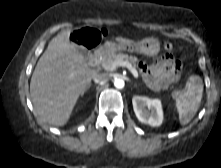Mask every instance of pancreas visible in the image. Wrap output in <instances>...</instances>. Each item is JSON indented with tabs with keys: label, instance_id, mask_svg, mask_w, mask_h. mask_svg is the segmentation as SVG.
Here are the masks:
<instances>
[{
	"label": "pancreas",
	"instance_id": "obj_1",
	"mask_svg": "<svg viewBox=\"0 0 221 168\" xmlns=\"http://www.w3.org/2000/svg\"><path fill=\"white\" fill-rule=\"evenodd\" d=\"M127 61L129 62L131 65H133V67L135 68L136 70V64H137V61L138 59L132 55H128V54H117V53H111V54H108V55H105L101 58L100 60V64L101 66L106 70L107 68V71H112L110 70V68L112 67L113 63L115 61ZM137 71V70H136ZM178 93L177 92H173L172 93V96L173 97H177Z\"/></svg>",
	"mask_w": 221,
	"mask_h": 168
}]
</instances>
